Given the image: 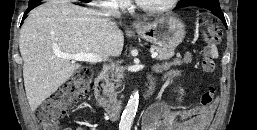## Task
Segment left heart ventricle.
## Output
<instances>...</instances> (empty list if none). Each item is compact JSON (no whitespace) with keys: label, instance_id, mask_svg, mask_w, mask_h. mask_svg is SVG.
I'll list each match as a JSON object with an SVG mask.
<instances>
[{"label":"left heart ventricle","instance_id":"b2bd125f","mask_svg":"<svg viewBox=\"0 0 257 130\" xmlns=\"http://www.w3.org/2000/svg\"><path fill=\"white\" fill-rule=\"evenodd\" d=\"M140 1H141V3H143L146 6L157 7V6H161V5L165 4L169 0H140Z\"/></svg>","mask_w":257,"mask_h":130}]
</instances>
